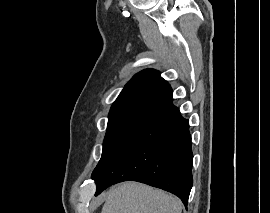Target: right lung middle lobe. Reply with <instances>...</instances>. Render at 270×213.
<instances>
[{
	"mask_svg": "<svg viewBox=\"0 0 270 213\" xmlns=\"http://www.w3.org/2000/svg\"><path fill=\"white\" fill-rule=\"evenodd\" d=\"M154 108L155 106L152 105L138 104L110 111L102 157L92 173V178L96 177L106 167L138 125Z\"/></svg>",
	"mask_w": 270,
	"mask_h": 213,
	"instance_id": "right-lung-middle-lobe-1",
	"label": "right lung middle lobe"
}]
</instances>
